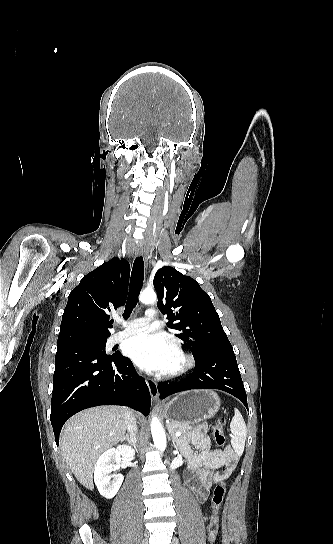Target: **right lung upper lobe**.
<instances>
[{
  "label": "right lung upper lobe",
  "instance_id": "obj_1",
  "mask_svg": "<svg viewBox=\"0 0 333 544\" xmlns=\"http://www.w3.org/2000/svg\"><path fill=\"white\" fill-rule=\"evenodd\" d=\"M130 265L118 257L84 276L68 297L57 347L76 342L107 340L109 314L127 297Z\"/></svg>",
  "mask_w": 333,
  "mask_h": 544
}]
</instances>
